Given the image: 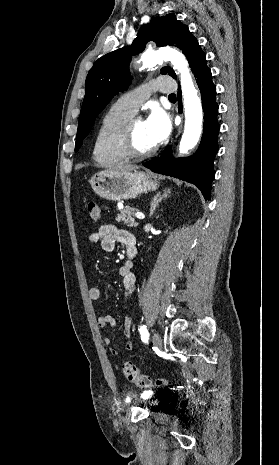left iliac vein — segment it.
<instances>
[{"mask_svg": "<svg viewBox=\"0 0 279 465\" xmlns=\"http://www.w3.org/2000/svg\"><path fill=\"white\" fill-rule=\"evenodd\" d=\"M152 342L154 344V346L158 349H161L162 348V338L161 336L158 334V333H154L153 336H152Z\"/></svg>", "mask_w": 279, "mask_h": 465, "instance_id": "4c4485c4", "label": "left iliac vein"}]
</instances>
